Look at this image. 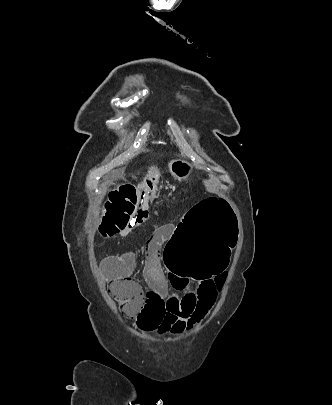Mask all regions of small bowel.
<instances>
[{
	"label": "small bowel",
	"mask_w": 332,
	"mask_h": 405,
	"mask_svg": "<svg viewBox=\"0 0 332 405\" xmlns=\"http://www.w3.org/2000/svg\"><path fill=\"white\" fill-rule=\"evenodd\" d=\"M148 171L153 174L143 176L144 183H139L136 197L137 208L132 209V216L138 217V222L133 223L122 235L129 231L149 216V204L154 194L153 182L160 176L157 166H148ZM174 228L170 224L157 226L146 244V264L144 269L145 283L142 284L144 293L141 301V310L137 312L136 326L142 332H156L159 335L166 333L181 334L187 328L207 315L213 306L217 292L213 288V277L208 281H201L196 289H190V281L186 275H165L161 266L160 249L163 243L172 240ZM134 267V255L131 252L108 255L101 261L104 274L114 280L131 274ZM174 289L179 295H169V290Z\"/></svg>",
	"instance_id": "c3829d8e"
}]
</instances>
